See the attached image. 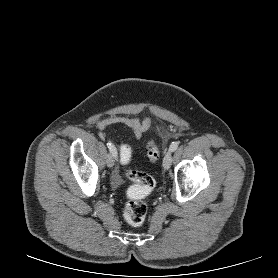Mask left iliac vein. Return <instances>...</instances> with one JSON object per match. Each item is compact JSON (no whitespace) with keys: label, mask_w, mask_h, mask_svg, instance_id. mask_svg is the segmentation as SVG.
Returning a JSON list of instances; mask_svg holds the SVG:
<instances>
[{"label":"left iliac vein","mask_w":278,"mask_h":278,"mask_svg":"<svg viewBox=\"0 0 278 278\" xmlns=\"http://www.w3.org/2000/svg\"><path fill=\"white\" fill-rule=\"evenodd\" d=\"M171 163H172V153H171V151H168L165 154L164 159H163V168L165 170H168L171 166Z\"/></svg>","instance_id":"4c4485c4"}]
</instances>
